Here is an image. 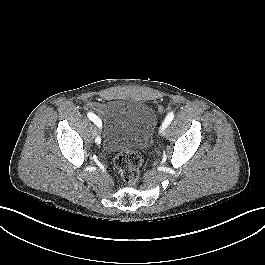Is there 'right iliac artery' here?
I'll list each match as a JSON object with an SVG mask.
<instances>
[{"label": "right iliac artery", "mask_w": 265, "mask_h": 265, "mask_svg": "<svg viewBox=\"0 0 265 265\" xmlns=\"http://www.w3.org/2000/svg\"><path fill=\"white\" fill-rule=\"evenodd\" d=\"M88 118L93 121L99 128L102 127V122L101 120L93 113V112H88L87 113ZM97 144L101 142V138L98 136L95 140Z\"/></svg>", "instance_id": "82829eb1"}]
</instances>
